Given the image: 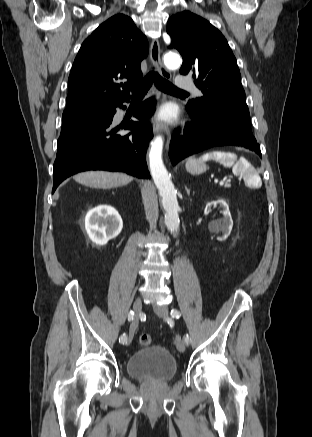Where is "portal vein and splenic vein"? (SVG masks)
<instances>
[{"instance_id":"obj_1","label":"portal vein and splenic vein","mask_w":312,"mask_h":437,"mask_svg":"<svg viewBox=\"0 0 312 437\" xmlns=\"http://www.w3.org/2000/svg\"><path fill=\"white\" fill-rule=\"evenodd\" d=\"M225 182H226L225 180H221V181L219 182V184H220V185H223Z\"/></svg>"}]
</instances>
